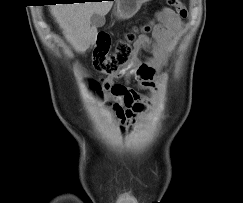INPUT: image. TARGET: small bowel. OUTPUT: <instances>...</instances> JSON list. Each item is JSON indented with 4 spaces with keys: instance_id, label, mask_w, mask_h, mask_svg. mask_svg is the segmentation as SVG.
I'll return each instance as SVG.
<instances>
[{
    "instance_id": "small-bowel-1",
    "label": "small bowel",
    "mask_w": 243,
    "mask_h": 203,
    "mask_svg": "<svg viewBox=\"0 0 243 203\" xmlns=\"http://www.w3.org/2000/svg\"><path fill=\"white\" fill-rule=\"evenodd\" d=\"M157 19L158 24L152 38L146 35L136 38L128 68L118 74L106 75L101 80L107 93V104L115 113L122 129L134 126L148 112L152 102L135 89L118 83V80L124 79L128 82L134 78L142 88L157 92V74L165 67L174 41L184 28V23L170 9H163ZM144 51L149 53L147 59L141 57Z\"/></svg>"
}]
</instances>
